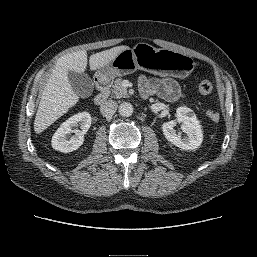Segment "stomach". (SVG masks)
Segmentation results:
<instances>
[{
	"label": "stomach",
	"mask_w": 257,
	"mask_h": 257,
	"mask_svg": "<svg viewBox=\"0 0 257 257\" xmlns=\"http://www.w3.org/2000/svg\"><path fill=\"white\" fill-rule=\"evenodd\" d=\"M195 68L191 56L164 48H155L147 43H138L132 49L123 50L96 75L103 80L134 73L137 69L158 75L185 78Z\"/></svg>",
	"instance_id": "stomach-1"
}]
</instances>
